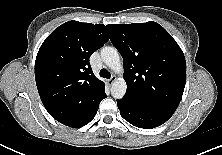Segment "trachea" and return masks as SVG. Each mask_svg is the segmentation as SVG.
I'll return each instance as SVG.
<instances>
[{"label":"trachea","instance_id":"trachea-1","mask_svg":"<svg viewBox=\"0 0 222 155\" xmlns=\"http://www.w3.org/2000/svg\"><path fill=\"white\" fill-rule=\"evenodd\" d=\"M100 76L103 77V78L109 79L111 77V74H110V72L108 70L101 69Z\"/></svg>","mask_w":222,"mask_h":155}]
</instances>
